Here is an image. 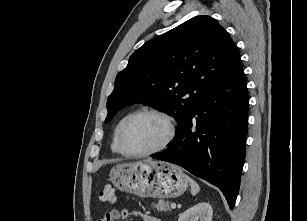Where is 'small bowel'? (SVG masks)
I'll return each instance as SVG.
<instances>
[{
	"instance_id": "c3829d8e",
	"label": "small bowel",
	"mask_w": 307,
	"mask_h": 221,
	"mask_svg": "<svg viewBox=\"0 0 307 221\" xmlns=\"http://www.w3.org/2000/svg\"><path fill=\"white\" fill-rule=\"evenodd\" d=\"M131 217H138L141 221H161L159 218L151 215H145L138 211H132L129 209H113L106 213L99 221H117L121 219H129Z\"/></svg>"
}]
</instances>
